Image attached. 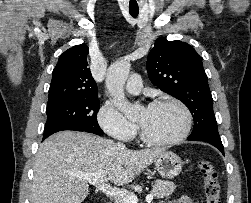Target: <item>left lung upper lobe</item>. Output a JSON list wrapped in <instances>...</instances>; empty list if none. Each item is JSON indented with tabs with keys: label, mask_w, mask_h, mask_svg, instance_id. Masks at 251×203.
Instances as JSON below:
<instances>
[{
	"label": "left lung upper lobe",
	"mask_w": 251,
	"mask_h": 203,
	"mask_svg": "<svg viewBox=\"0 0 251 203\" xmlns=\"http://www.w3.org/2000/svg\"><path fill=\"white\" fill-rule=\"evenodd\" d=\"M146 65L150 81L189 108L194 119L190 137L220 138L202 58L191 45L160 37Z\"/></svg>",
	"instance_id": "left-lung-upper-lobe-1"
}]
</instances>
